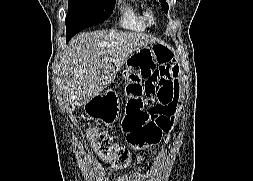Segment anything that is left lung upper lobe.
<instances>
[{"mask_svg": "<svg viewBox=\"0 0 253 181\" xmlns=\"http://www.w3.org/2000/svg\"><path fill=\"white\" fill-rule=\"evenodd\" d=\"M161 2L162 9L167 13L168 12V4L166 3V0H159Z\"/></svg>", "mask_w": 253, "mask_h": 181, "instance_id": "5c2ea615", "label": "left lung upper lobe"}]
</instances>
